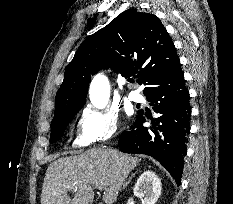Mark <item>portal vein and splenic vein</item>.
<instances>
[{"label": "portal vein and splenic vein", "mask_w": 233, "mask_h": 204, "mask_svg": "<svg viewBox=\"0 0 233 204\" xmlns=\"http://www.w3.org/2000/svg\"><path fill=\"white\" fill-rule=\"evenodd\" d=\"M96 187L98 188V190H103V186L102 185H96Z\"/></svg>", "instance_id": "obj_1"}]
</instances>
